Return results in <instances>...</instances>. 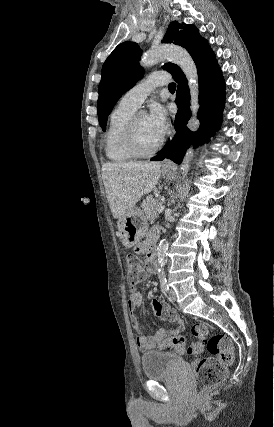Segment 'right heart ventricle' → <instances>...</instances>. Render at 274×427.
<instances>
[{"label": "right heart ventricle", "instance_id": "obj_1", "mask_svg": "<svg viewBox=\"0 0 274 427\" xmlns=\"http://www.w3.org/2000/svg\"><path fill=\"white\" fill-rule=\"evenodd\" d=\"M134 113V109L119 104L111 115L110 124L104 136L105 156L111 162L127 163L134 159L123 142L125 128Z\"/></svg>", "mask_w": 274, "mask_h": 427}]
</instances>
